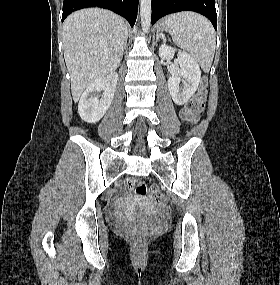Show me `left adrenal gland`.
Returning <instances> with one entry per match:
<instances>
[{
	"instance_id": "left-adrenal-gland-1",
	"label": "left adrenal gland",
	"mask_w": 280,
	"mask_h": 285,
	"mask_svg": "<svg viewBox=\"0 0 280 285\" xmlns=\"http://www.w3.org/2000/svg\"><path fill=\"white\" fill-rule=\"evenodd\" d=\"M160 38H162L163 41H165V38H164L163 36H161V34L158 32V33L156 34V40H159Z\"/></svg>"
}]
</instances>
